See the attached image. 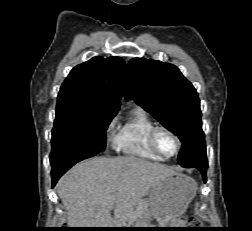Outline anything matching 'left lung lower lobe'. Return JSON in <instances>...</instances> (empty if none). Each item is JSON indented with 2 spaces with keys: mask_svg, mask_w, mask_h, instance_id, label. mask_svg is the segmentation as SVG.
Masks as SVG:
<instances>
[{
  "mask_svg": "<svg viewBox=\"0 0 252 231\" xmlns=\"http://www.w3.org/2000/svg\"><path fill=\"white\" fill-rule=\"evenodd\" d=\"M207 166H208V163L205 162V163H201V164H189L186 167H193V168H197L198 170H200V172L202 173L204 182H206V180H207V177H206Z\"/></svg>",
  "mask_w": 252,
  "mask_h": 231,
  "instance_id": "left-lung-lower-lobe-1",
  "label": "left lung lower lobe"
}]
</instances>
